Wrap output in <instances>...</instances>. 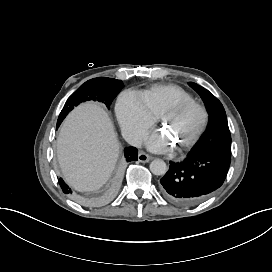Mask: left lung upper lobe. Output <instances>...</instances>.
<instances>
[{"instance_id":"1","label":"left lung upper lobe","mask_w":272,"mask_h":272,"mask_svg":"<svg viewBox=\"0 0 272 272\" xmlns=\"http://www.w3.org/2000/svg\"><path fill=\"white\" fill-rule=\"evenodd\" d=\"M189 85L201 96L209 113V125L190 154L220 153L231 157V135L224 107L208 90L196 83Z\"/></svg>"}]
</instances>
